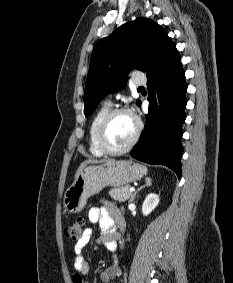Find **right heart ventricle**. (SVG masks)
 <instances>
[{
    "label": "right heart ventricle",
    "mask_w": 233,
    "mask_h": 283,
    "mask_svg": "<svg viewBox=\"0 0 233 283\" xmlns=\"http://www.w3.org/2000/svg\"><path fill=\"white\" fill-rule=\"evenodd\" d=\"M110 110H111L110 104L104 103L93 115L89 125V130H88L89 151L92 155L97 157L104 155V153L97 146V142H96L97 130L101 121Z\"/></svg>",
    "instance_id": "e07e8e85"
}]
</instances>
